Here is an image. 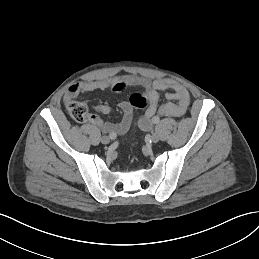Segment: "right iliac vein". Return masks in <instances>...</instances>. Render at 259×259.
<instances>
[{
  "label": "right iliac vein",
  "instance_id": "1",
  "mask_svg": "<svg viewBox=\"0 0 259 259\" xmlns=\"http://www.w3.org/2000/svg\"><path fill=\"white\" fill-rule=\"evenodd\" d=\"M101 142H102L103 144H108V143L110 142V138H109L108 136H103V137L101 138Z\"/></svg>",
  "mask_w": 259,
  "mask_h": 259
}]
</instances>
